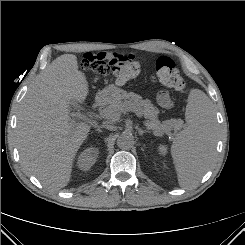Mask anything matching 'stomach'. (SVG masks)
Instances as JSON below:
<instances>
[{"mask_svg": "<svg viewBox=\"0 0 245 245\" xmlns=\"http://www.w3.org/2000/svg\"><path fill=\"white\" fill-rule=\"evenodd\" d=\"M121 92L122 90L117 85L110 84L102 91V94L106 97V99L114 100Z\"/></svg>", "mask_w": 245, "mask_h": 245, "instance_id": "obj_1", "label": "stomach"}]
</instances>
